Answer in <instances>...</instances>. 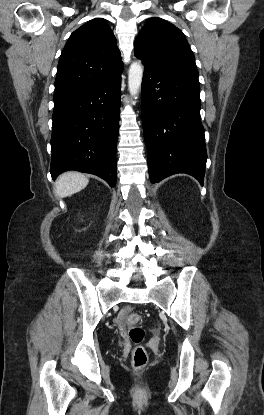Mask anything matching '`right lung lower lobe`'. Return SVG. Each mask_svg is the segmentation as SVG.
Returning a JSON list of instances; mask_svg holds the SVG:
<instances>
[{"label": "right lung lower lobe", "instance_id": "98d812e1", "mask_svg": "<svg viewBox=\"0 0 264 415\" xmlns=\"http://www.w3.org/2000/svg\"><path fill=\"white\" fill-rule=\"evenodd\" d=\"M121 74L54 94L52 179L77 170L116 183Z\"/></svg>", "mask_w": 264, "mask_h": 415}]
</instances>
